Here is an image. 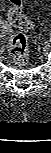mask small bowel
<instances>
[{"mask_svg": "<svg viewBox=\"0 0 51 153\" xmlns=\"http://www.w3.org/2000/svg\"><path fill=\"white\" fill-rule=\"evenodd\" d=\"M1 24L3 25V27H7V23L2 21Z\"/></svg>", "mask_w": 51, "mask_h": 153, "instance_id": "c3829d8e", "label": "small bowel"}]
</instances>
